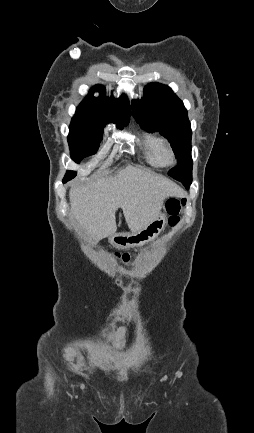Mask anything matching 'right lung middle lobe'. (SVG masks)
I'll return each mask as SVG.
<instances>
[{
    "label": "right lung middle lobe",
    "mask_w": 254,
    "mask_h": 433,
    "mask_svg": "<svg viewBox=\"0 0 254 433\" xmlns=\"http://www.w3.org/2000/svg\"><path fill=\"white\" fill-rule=\"evenodd\" d=\"M110 121L109 116L104 112L77 109L72 118L68 136L71 158L75 162L79 163L84 157L96 153L102 139L103 129ZM128 122L129 120H125L117 124H120L119 128L122 129Z\"/></svg>",
    "instance_id": "obj_1"
}]
</instances>
